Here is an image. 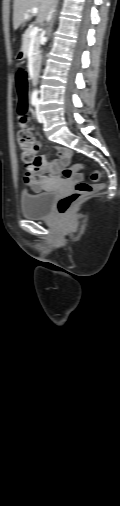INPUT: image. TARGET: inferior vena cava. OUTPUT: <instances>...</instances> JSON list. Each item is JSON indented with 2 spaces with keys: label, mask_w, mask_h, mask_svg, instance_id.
<instances>
[{
  "label": "inferior vena cava",
  "mask_w": 120,
  "mask_h": 506,
  "mask_svg": "<svg viewBox=\"0 0 120 506\" xmlns=\"http://www.w3.org/2000/svg\"><path fill=\"white\" fill-rule=\"evenodd\" d=\"M51 14H52V11L50 12V15L48 16V20H50V18H51Z\"/></svg>",
  "instance_id": "602c4592"
}]
</instances>
